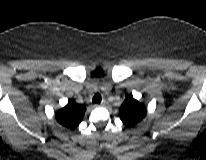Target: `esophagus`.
<instances>
[{
    "label": "esophagus",
    "instance_id": "1",
    "mask_svg": "<svg viewBox=\"0 0 206 160\" xmlns=\"http://www.w3.org/2000/svg\"><path fill=\"white\" fill-rule=\"evenodd\" d=\"M106 104L105 101H102L100 104H97V106H104Z\"/></svg>",
    "mask_w": 206,
    "mask_h": 160
}]
</instances>
